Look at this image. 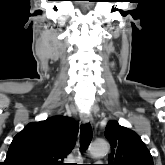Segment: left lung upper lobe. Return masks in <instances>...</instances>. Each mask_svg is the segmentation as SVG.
I'll use <instances>...</instances> for the list:
<instances>
[{
  "label": "left lung upper lobe",
  "mask_w": 165,
  "mask_h": 165,
  "mask_svg": "<svg viewBox=\"0 0 165 165\" xmlns=\"http://www.w3.org/2000/svg\"><path fill=\"white\" fill-rule=\"evenodd\" d=\"M105 137L111 145L108 165H153L152 156L139 135L117 121L108 122Z\"/></svg>",
  "instance_id": "1"
}]
</instances>
